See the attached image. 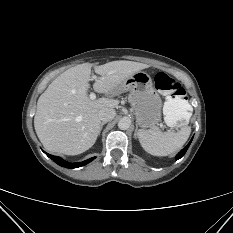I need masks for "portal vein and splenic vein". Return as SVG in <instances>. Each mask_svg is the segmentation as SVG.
<instances>
[{
    "instance_id": "1",
    "label": "portal vein and splenic vein",
    "mask_w": 233,
    "mask_h": 233,
    "mask_svg": "<svg viewBox=\"0 0 233 233\" xmlns=\"http://www.w3.org/2000/svg\"><path fill=\"white\" fill-rule=\"evenodd\" d=\"M92 78L96 79L97 76H93ZM89 97H90L91 100H95L96 99V94L95 93H90Z\"/></svg>"
}]
</instances>
